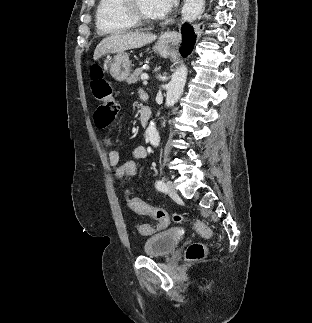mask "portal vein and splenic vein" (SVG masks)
Instances as JSON below:
<instances>
[{"instance_id":"18ae733b","label":"portal vein and splenic vein","mask_w":312,"mask_h":323,"mask_svg":"<svg viewBox=\"0 0 312 323\" xmlns=\"http://www.w3.org/2000/svg\"><path fill=\"white\" fill-rule=\"evenodd\" d=\"M149 76H147V74H141V80H144V82H146V80H148Z\"/></svg>"}]
</instances>
